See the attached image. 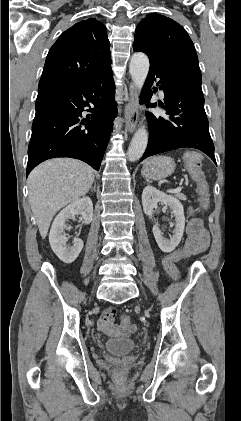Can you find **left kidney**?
I'll list each match as a JSON object with an SVG mask.
<instances>
[{"mask_svg": "<svg viewBox=\"0 0 241 421\" xmlns=\"http://www.w3.org/2000/svg\"><path fill=\"white\" fill-rule=\"evenodd\" d=\"M159 202L168 206L172 210V213L175 217V228L170 239H166L162 236V232L156 222L152 229L159 248L163 252L169 253L178 246L183 236L185 227L184 209L181 202L175 197L167 195L152 186L145 187L142 193V206L144 213L150 219L153 217V209Z\"/></svg>", "mask_w": 241, "mask_h": 421, "instance_id": "left-kidney-1", "label": "left kidney"}]
</instances>
